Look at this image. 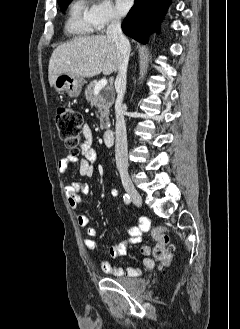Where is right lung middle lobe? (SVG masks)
I'll return each mask as SVG.
<instances>
[{"instance_id":"dd1d6c3e","label":"right lung middle lobe","mask_w":240,"mask_h":329,"mask_svg":"<svg viewBox=\"0 0 240 329\" xmlns=\"http://www.w3.org/2000/svg\"><path fill=\"white\" fill-rule=\"evenodd\" d=\"M72 0H61L58 2V4L60 5L61 10H64L67 5L69 4V2H71Z\"/></svg>"}]
</instances>
